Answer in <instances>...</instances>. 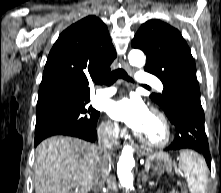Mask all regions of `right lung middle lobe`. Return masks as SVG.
Masks as SVG:
<instances>
[{
    "mask_svg": "<svg viewBox=\"0 0 221 193\" xmlns=\"http://www.w3.org/2000/svg\"><path fill=\"white\" fill-rule=\"evenodd\" d=\"M88 100H59L37 105L35 139L61 134L66 130L91 132L96 129L99 112Z\"/></svg>",
    "mask_w": 221,
    "mask_h": 193,
    "instance_id": "obj_1",
    "label": "right lung middle lobe"
}]
</instances>
